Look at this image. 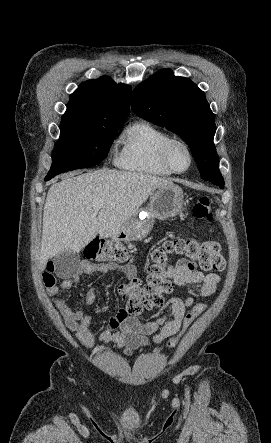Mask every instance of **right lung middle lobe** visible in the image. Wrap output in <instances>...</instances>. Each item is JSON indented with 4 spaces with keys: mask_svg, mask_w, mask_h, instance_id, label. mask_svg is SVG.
<instances>
[{
    "mask_svg": "<svg viewBox=\"0 0 271 443\" xmlns=\"http://www.w3.org/2000/svg\"><path fill=\"white\" fill-rule=\"evenodd\" d=\"M126 117L86 118L64 114L48 175L87 168L103 161Z\"/></svg>",
    "mask_w": 271,
    "mask_h": 443,
    "instance_id": "dd1d6c3e",
    "label": "right lung middle lobe"
}]
</instances>
